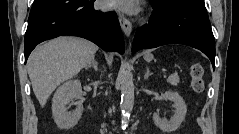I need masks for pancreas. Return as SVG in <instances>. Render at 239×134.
I'll use <instances>...</instances> for the list:
<instances>
[{"instance_id":"pancreas-1","label":"pancreas","mask_w":239,"mask_h":134,"mask_svg":"<svg viewBox=\"0 0 239 134\" xmlns=\"http://www.w3.org/2000/svg\"><path fill=\"white\" fill-rule=\"evenodd\" d=\"M167 82L173 86H177L180 82V78L177 74H173L168 77Z\"/></svg>"}]
</instances>
